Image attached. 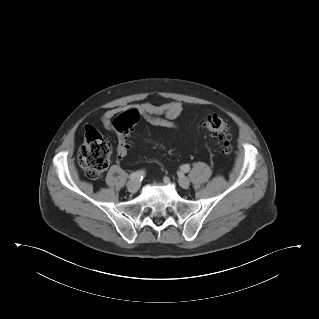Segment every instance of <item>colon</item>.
I'll use <instances>...</instances> for the list:
<instances>
[{
  "label": "colon",
  "mask_w": 319,
  "mask_h": 319,
  "mask_svg": "<svg viewBox=\"0 0 319 319\" xmlns=\"http://www.w3.org/2000/svg\"><path fill=\"white\" fill-rule=\"evenodd\" d=\"M140 115L136 110H128L120 114L114 121L113 127L121 140L127 141L133 127L138 123ZM201 127L214 139L222 144L223 153H231V131L227 121L217 114L206 116ZM111 154L109 141L97 130L88 129L84 142L79 149V163L91 179H100L108 167Z\"/></svg>",
  "instance_id": "colon-1"
}]
</instances>
